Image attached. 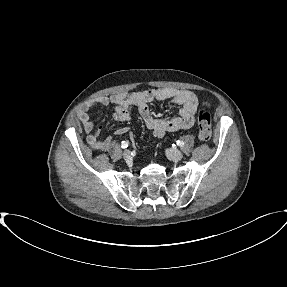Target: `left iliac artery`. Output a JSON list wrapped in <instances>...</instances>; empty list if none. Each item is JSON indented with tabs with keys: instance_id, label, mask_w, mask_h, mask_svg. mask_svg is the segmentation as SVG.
Returning <instances> with one entry per match:
<instances>
[{
	"instance_id": "obj_1",
	"label": "left iliac artery",
	"mask_w": 287,
	"mask_h": 287,
	"mask_svg": "<svg viewBox=\"0 0 287 287\" xmlns=\"http://www.w3.org/2000/svg\"><path fill=\"white\" fill-rule=\"evenodd\" d=\"M177 145L180 146V147H182V146L184 145V142H183L182 140H178V141H177Z\"/></svg>"
}]
</instances>
